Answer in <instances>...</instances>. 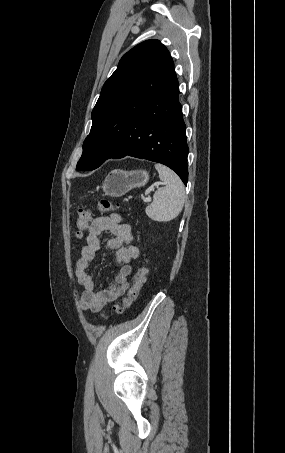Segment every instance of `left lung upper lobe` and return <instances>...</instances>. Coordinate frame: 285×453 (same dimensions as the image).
I'll list each match as a JSON object with an SVG mask.
<instances>
[{
	"label": "left lung upper lobe",
	"instance_id": "1",
	"mask_svg": "<svg viewBox=\"0 0 285 453\" xmlns=\"http://www.w3.org/2000/svg\"><path fill=\"white\" fill-rule=\"evenodd\" d=\"M174 63L158 40H146L121 58L92 111V127L77 170L99 167L152 100Z\"/></svg>",
	"mask_w": 285,
	"mask_h": 453
}]
</instances>
